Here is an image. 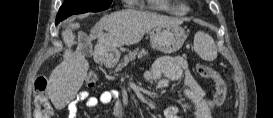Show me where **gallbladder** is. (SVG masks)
Instances as JSON below:
<instances>
[{"instance_id": "gallbladder-1", "label": "gallbladder", "mask_w": 273, "mask_h": 118, "mask_svg": "<svg viewBox=\"0 0 273 118\" xmlns=\"http://www.w3.org/2000/svg\"><path fill=\"white\" fill-rule=\"evenodd\" d=\"M82 51L86 56H91L93 53L91 45L87 44L86 42L82 43Z\"/></svg>"}]
</instances>
